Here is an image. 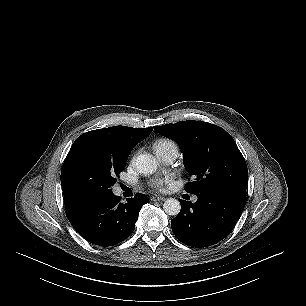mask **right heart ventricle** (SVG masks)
Here are the masks:
<instances>
[{
	"mask_svg": "<svg viewBox=\"0 0 306 306\" xmlns=\"http://www.w3.org/2000/svg\"><path fill=\"white\" fill-rule=\"evenodd\" d=\"M171 148H177L176 144L170 140V139H159L154 143V149L159 154V156H162L166 151H168Z\"/></svg>",
	"mask_w": 306,
	"mask_h": 306,
	"instance_id": "right-heart-ventricle-1",
	"label": "right heart ventricle"
}]
</instances>
